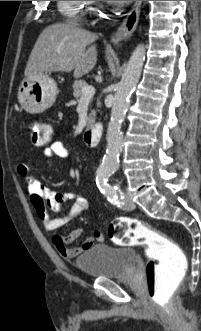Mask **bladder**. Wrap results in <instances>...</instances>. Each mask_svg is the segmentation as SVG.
Returning a JSON list of instances; mask_svg holds the SVG:
<instances>
[{
	"mask_svg": "<svg viewBox=\"0 0 201 331\" xmlns=\"http://www.w3.org/2000/svg\"><path fill=\"white\" fill-rule=\"evenodd\" d=\"M135 260L132 248L99 243L78 256L75 266L89 278L114 279L125 277Z\"/></svg>",
	"mask_w": 201,
	"mask_h": 331,
	"instance_id": "obj_1",
	"label": "bladder"
}]
</instances>
